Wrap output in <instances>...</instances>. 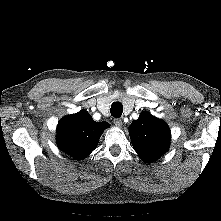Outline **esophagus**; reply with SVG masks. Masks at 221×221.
<instances>
[{
	"label": "esophagus",
	"instance_id": "esophagus-1",
	"mask_svg": "<svg viewBox=\"0 0 221 221\" xmlns=\"http://www.w3.org/2000/svg\"><path fill=\"white\" fill-rule=\"evenodd\" d=\"M113 122H114L115 126H117V127H121L122 126V120L119 119V118H115L113 120Z\"/></svg>",
	"mask_w": 221,
	"mask_h": 221
}]
</instances>
